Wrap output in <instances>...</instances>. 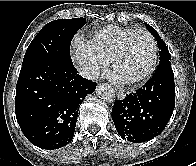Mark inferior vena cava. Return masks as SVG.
I'll use <instances>...</instances> for the list:
<instances>
[{"instance_id": "602c4592", "label": "inferior vena cava", "mask_w": 196, "mask_h": 166, "mask_svg": "<svg viewBox=\"0 0 196 166\" xmlns=\"http://www.w3.org/2000/svg\"><path fill=\"white\" fill-rule=\"evenodd\" d=\"M79 74L86 79H96L99 76V73L89 66H81L78 68Z\"/></svg>"}]
</instances>
